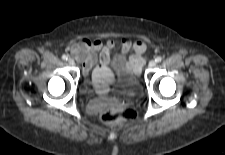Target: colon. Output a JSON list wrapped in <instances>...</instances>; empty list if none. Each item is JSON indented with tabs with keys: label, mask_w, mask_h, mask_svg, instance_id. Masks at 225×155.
I'll return each mask as SVG.
<instances>
[{
	"label": "colon",
	"mask_w": 225,
	"mask_h": 155,
	"mask_svg": "<svg viewBox=\"0 0 225 155\" xmlns=\"http://www.w3.org/2000/svg\"><path fill=\"white\" fill-rule=\"evenodd\" d=\"M137 112L132 107H123L114 104L105 108L101 113V120L106 124H117L123 121H133Z\"/></svg>",
	"instance_id": "obj_1"
}]
</instances>
